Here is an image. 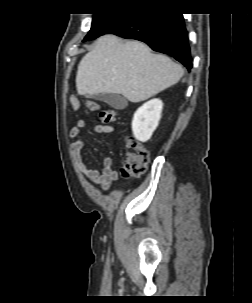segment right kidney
<instances>
[{
	"label": "right kidney",
	"mask_w": 252,
	"mask_h": 303,
	"mask_svg": "<svg viewBox=\"0 0 252 303\" xmlns=\"http://www.w3.org/2000/svg\"><path fill=\"white\" fill-rule=\"evenodd\" d=\"M162 109L163 103L157 98L151 99L138 108L132 121V131L137 140L147 142L151 138L159 124Z\"/></svg>",
	"instance_id": "ca27d5eb"
}]
</instances>
